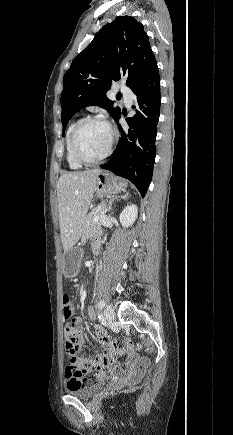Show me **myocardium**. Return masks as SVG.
<instances>
[{
  "label": "myocardium",
  "mask_w": 233,
  "mask_h": 435,
  "mask_svg": "<svg viewBox=\"0 0 233 435\" xmlns=\"http://www.w3.org/2000/svg\"><path fill=\"white\" fill-rule=\"evenodd\" d=\"M90 122H101L106 124V126L108 127L109 131H110V140L107 146L106 151L99 156L96 159H88L81 151L79 144H78V135L79 132L81 130V128ZM116 140V134L114 129L112 128V126L110 125V123L102 116H98V115H93V116H88L85 118L80 119L71 134V149H72V153L73 156L75 157V159L80 162L82 165H86V166H92V165H96L101 163L103 160H105L111 153L113 145L115 143Z\"/></svg>",
  "instance_id": "1"
}]
</instances>
